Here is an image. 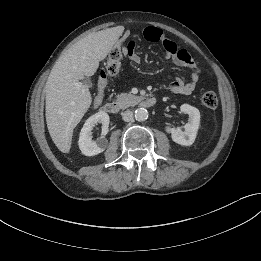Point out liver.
<instances>
[{
	"instance_id": "obj_1",
	"label": "liver",
	"mask_w": 261,
	"mask_h": 261,
	"mask_svg": "<svg viewBox=\"0 0 261 261\" xmlns=\"http://www.w3.org/2000/svg\"><path fill=\"white\" fill-rule=\"evenodd\" d=\"M123 31V26H117L85 37L53 66L45 85L46 122L52 141L61 152H69L73 130L92 102L88 86L80 80L94 75Z\"/></svg>"
}]
</instances>
